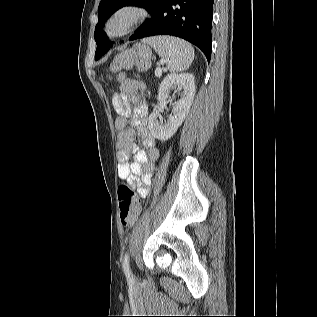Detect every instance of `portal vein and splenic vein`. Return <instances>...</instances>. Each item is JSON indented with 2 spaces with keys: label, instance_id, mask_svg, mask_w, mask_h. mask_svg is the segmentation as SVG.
<instances>
[{
  "label": "portal vein and splenic vein",
  "instance_id": "obj_1",
  "mask_svg": "<svg viewBox=\"0 0 317 317\" xmlns=\"http://www.w3.org/2000/svg\"><path fill=\"white\" fill-rule=\"evenodd\" d=\"M155 75H156L157 77H160V76L162 75V71H161L160 68H157V69H156Z\"/></svg>",
  "mask_w": 317,
  "mask_h": 317
}]
</instances>
